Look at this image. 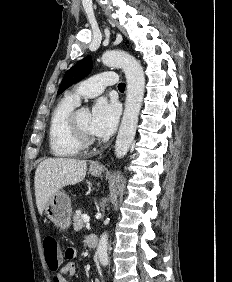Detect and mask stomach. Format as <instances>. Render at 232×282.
Listing matches in <instances>:
<instances>
[{
	"mask_svg": "<svg viewBox=\"0 0 232 282\" xmlns=\"http://www.w3.org/2000/svg\"><path fill=\"white\" fill-rule=\"evenodd\" d=\"M92 176L98 177L102 169H90ZM46 217L60 229H67L71 223V201L69 196L63 192H56L45 206Z\"/></svg>",
	"mask_w": 232,
	"mask_h": 282,
	"instance_id": "0dacf381",
	"label": "stomach"
}]
</instances>
